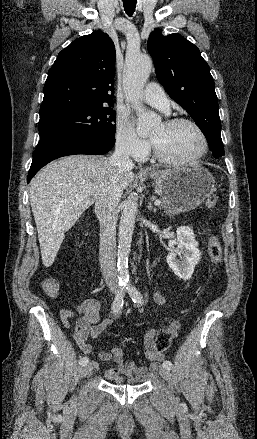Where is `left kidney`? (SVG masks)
Here are the masks:
<instances>
[{
    "instance_id": "1",
    "label": "left kidney",
    "mask_w": 257,
    "mask_h": 439,
    "mask_svg": "<svg viewBox=\"0 0 257 439\" xmlns=\"http://www.w3.org/2000/svg\"><path fill=\"white\" fill-rule=\"evenodd\" d=\"M176 233L178 247L167 255L166 260L178 278L189 280L201 257L198 242L192 228L188 226L179 227ZM177 256H180V259Z\"/></svg>"
}]
</instances>
